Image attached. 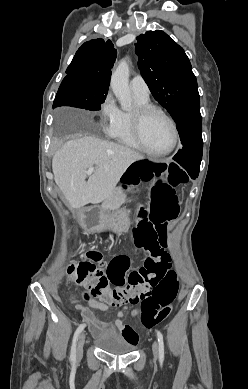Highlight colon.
<instances>
[{"label": "colon", "instance_id": "obj_1", "mask_svg": "<svg viewBox=\"0 0 248 389\" xmlns=\"http://www.w3.org/2000/svg\"><path fill=\"white\" fill-rule=\"evenodd\" d=\"M122 180L125 191H130V186L139 182H153L149 212L142 210L132 231L135 247L149 256L139 269L130 272V257L117 256L109 262L104 275L101 254L88 250V259L70 265L68 273L79 286H86L90 291L84 294L86 300L99 297L113 305L141 301L140 322L151 329L169 316L179 291L177 274L164 248L168 242V224L179 214L175 188L186 182L187 175L178 167L177 161H151L150 157H139L128 166ZM108 281L125 286L124 291L110 289Z\"/></svg>", "mask_w": 248, "mask_h": 389}]
</instances>
